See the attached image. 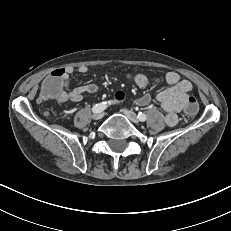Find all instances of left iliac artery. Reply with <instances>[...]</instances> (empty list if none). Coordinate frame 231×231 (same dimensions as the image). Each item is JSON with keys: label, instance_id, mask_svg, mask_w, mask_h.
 <instances>
[{"label": "left iliac artery", "instance_id": "left-iliac-artery-1", "mask_svg": "<svg viewBox=\"0 0 231 231\" xmlns=\"http://www.w3.org/2000/svg\"><path fill=\"white\" fill-rule=\"evenodd\" d=\"M138 118H139L140 121L143 122V121L146 120L147 117H146V115H145L144 113L139 112V113H138Z\"/></svg>", "mask_w": 231, "mask_h": 231}]
</instances>
